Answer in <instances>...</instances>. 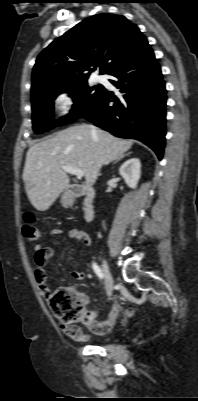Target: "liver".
Masks as SVG:
<instances>
[{"mask_svg": "<svg viewBox=\"0 0 198 401\" xmlns=\"http://www.w3.org/2000/svg\"><path fill=\"white\" fill-rule=\"evenodd\" d=\"M90 125H75L55 136L34 144L26 154L23 181L31 204L39 211L47 210L69 187L70 179L62 166L84 171L86 185L91 187L102 165L124 156L133 141L120 139Z\"/></svg>", "mask_w": 198, "mask_h": 401, "instance_id": "liver-1", "label": "liver"}]
</instances>
